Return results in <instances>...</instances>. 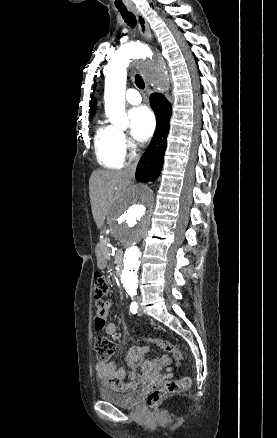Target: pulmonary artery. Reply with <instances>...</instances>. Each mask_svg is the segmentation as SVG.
<instances>
[{"label":"pulmonary artery","mask_w":277,"mask_h":438,"mask_svg":"<svg viewBox=\"0 0 277 438\" xmlns=\"http://www.w3.org/2000/svg\"><path fill=\"white\" fill-rule=\"evenodd\" d=\"M126 96L125 99L128 103L132 105H138L141 103V89L139 87H130L125 91Z\"/></svg>","instance_id":"1"}]
</instances>
